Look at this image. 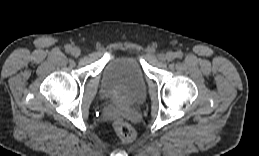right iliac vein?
<instances>
[{
  "instance_id": "63e3f726",
  "label": "right iliac vein",
  "mask_w": 259,
  "mask_h": 156,
  "mask_svg": "<svg viewBox=\"0 0 259 156\" xmlns=\"http://www.w3.org/2000/svg\"><path fill=\"white\" fill-rule=\"evenodd\" d=\"M81 51L78 47H73L71 49V54L74 56V57H78L80 55Z\"/></svg>"
}]
</instances>
